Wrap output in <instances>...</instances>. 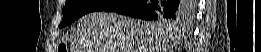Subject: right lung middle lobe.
Masks as SVG:
<instances>
[{"label":"right lung middle lobe","mask_w":261,"mask_h":52,"mask_svg":"<svg viewBox=\"0 0 261 52\" xmlns=\"http://www.w3.org/2000/svg\"><path fill=\"white\" fill-rule=\"evenodd\" d=\"M190 2L191 1H183L184 7L190 10ZM117 1L114 0H67L65 7L63 8V19L60 24L61 27H65L79 17L93 11H102L105 8L114 5ZM160 21L164 24V26L169 28H174L175 24L183 23L185 18L177 17L175 19H166V18H157L154 21Z\"/></svg>","instance_id":"1"}]
</instances>
